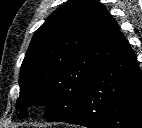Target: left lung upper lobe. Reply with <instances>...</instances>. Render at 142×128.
Returning <instances> with one entry per match:
<instances>
[{
	"instance_id": "left-lung-upper-lobe-1",
	"label": "left lung upper lobe",
	"mask_w": 142,
	"mask_h": 128,
	"mask_svg": "<svg viewBox=\"0 0 142 128\" xmlns=\"http://www.w3.org/2000/svg\"><path fill=\"white\" fill-rule=\"evenodd\" d=\"M128 41L96 0H71L56 9L34 34L23 60L16 103L47 105L48 121H60L76 106L84 87Z\"/></svg>"
}]
</instances>
